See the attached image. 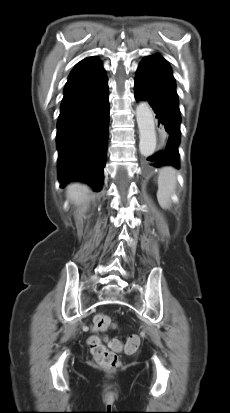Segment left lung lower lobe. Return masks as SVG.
<instances>
[{"label": "left lung lower lobe", "mask_w": 230, "mask_h": 413, "mask_svg": "<svg viewBox=\"0 0 230 413\" xmlns=\"http://www.w3.org/2000/svg\"><path fill=\"white\" fill-rule=\"evenodd\" d=\"M135 99L149 102L159 124L169 133L165 148L147 158L151 165H172L179 168L180 122L176 83L168 62L160 55H150L142 60L135 77Z\"/></svg>", "instance_id": "1"}]
</instances>
